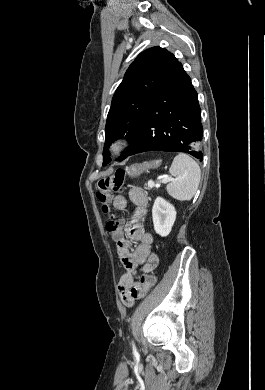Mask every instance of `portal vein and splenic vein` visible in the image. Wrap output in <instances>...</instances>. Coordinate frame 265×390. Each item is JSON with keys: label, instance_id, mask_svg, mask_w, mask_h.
<instances>
[{"label": "portal vein and splenic vein", "instance_id": "obj_1", "mask_svg": "<svg viewBox=\"0 0 265 390\" xmlns=\"http://www.w3.org/2000/svg\"><path fill=\"white\" fill-rule=\"evenodd\" d=\"M172 178L170 176H164L163 179L161 180L162 183H167L169 181H171ZM148 184L151 185V186H156L158 187L159 184H154V182L152 180L148 181Z\"/></svg>", "mask_w": 265, "mask_h": 390}]
</instances>
